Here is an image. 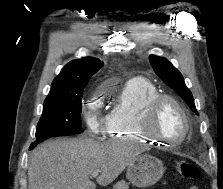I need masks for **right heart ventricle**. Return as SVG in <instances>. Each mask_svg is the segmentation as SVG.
Masks as SVG:
<instances>
[{"instance_id":"e07e8e85","label":"right heart ventricle","mask_w":223,"mask_h":189,"mask_svg":"<svg viewBox=\"0 0 223 189\" xmlns=\"http://www.w3.org/2000/svg\"><path fill=\"white\" fill-rule=\"evenodd\" d=\"M159 94L146 79L128 81L119 91L105 119L104 133L108 139L131 142H154L139 128V115L146 103Z\"/></svg>"}]
</instances>
